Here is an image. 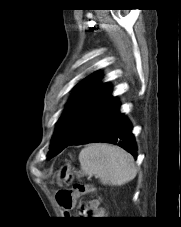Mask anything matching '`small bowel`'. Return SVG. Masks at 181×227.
<instances>
[{
	"instance_id": "c3829d8e",
	"label": "small bowel",
	"mask_w": 181,
	"mask_h": 227,
	"mask_svg": "<svg viewBox=\"0 0 181 227\" xmlns=\"http://www.w3.org/2000/svg\"><path fill=\"white\" fill-rule=\"evenodd\" d=\"M88 212H92L97 217H103L106 215L105 210L101 207L100 199L88 201L80 210V214H87Z\"/></svg>"
}]
</instances>
